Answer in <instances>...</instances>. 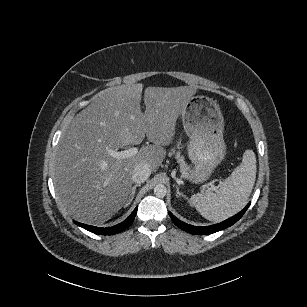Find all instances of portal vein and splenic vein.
Wrapping results in <instances>:
<instances>
[{"mask_svg":"<svg viewBox=\"0 0 307 307\" xmlns=\"http://www.w3.org/2000/svg\"><path fill=\"white\" fill-rule=\"evenodd\" d=\"M137 153H138V148L137 147H132V148H129V149L123 150V151H114V150H110L109 151V154L112 157H114V158H116L118 160L134 156ZM208 186H210V190L215 191V192L218 189V187L215 186L212 183H209L208 185H203V188L208 187Z\"/></svg>","mask_w":307,"mask_h":307,"instance_id":"portal-vein-and-splenic-vein-1","label":"portal vein and splenic vein"}]
</instances>
